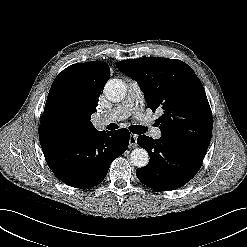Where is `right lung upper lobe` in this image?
<instances>
[{
  "label": "right lung upper lobe",
  "mask_w": 247,
  "mask_h": 247,
  "mask_svg": "<svg viewBox=\"0 0 247 247\" xmlns=\"http://www.w3.org/2000/svg\"><path fill=\"white\" fill-rule=\"evenodd\" d=\"M109 78L110 69L104 61L74 64L64 69L50 88L41 127L75 137L100 132L92 125L90 117L96 111L97 99ZM64 91L67 92L66 99H63ZM61 102L67 104V116L60 128L53 129L48 118Z\"/></svg>",
  "instance_id": "cb5924a9"
}]
</instances>
